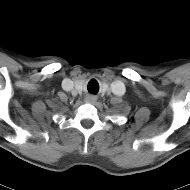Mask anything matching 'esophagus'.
Segmentation results:
<instances>
[{"mask_svg":"<svg viewBox=\"0 0 190 190\" xmlns=\"http://www.w3.org/2000/svg\"><path fill=\"white\" fill-rule=\"evenodd\" d=\"M96 100H97V97L95 95H91V94L87 95L85 98V101L87 103H94V102H96Z\"/></svg>","mask_w":190,"mask_h":190,"instance_id":"1","label":"esophagus"}]
</instances>
